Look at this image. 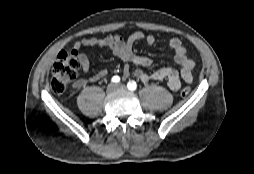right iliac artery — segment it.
I'll return each mask as SVG.
<instances>
[{"instance_id":"82829eb1","label":"right iliac artery","mask_w":254,"mask_h":174,"mask_svg":"<svg viewBox=\"0 0 254 174\" xmlns=\"http://www.w3.org/2000/svg\"><path fill=\"white\" fill-rule=\"evenodd\" d=\"M119 81H120V77L119 76H114L112 78V82H114V83H118Z\"/></svg>"}]
</instances>
